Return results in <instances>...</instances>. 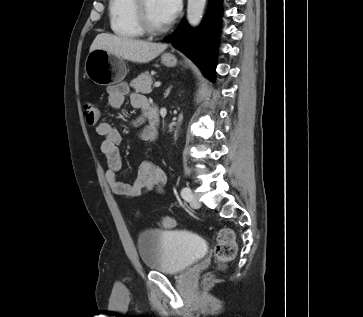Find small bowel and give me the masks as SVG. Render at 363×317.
Returning a JSON list of instances; mask_svg holds the SVG:
<instances>
[{
  "label": "small bowel",
  "mask_w": 363,
  "mask_h": 317,
  "mask_svg": "<svg viewBox=\"0 0 363 317\" xmlns=\"http://www.w3.org/2000/svg\"><path fill=\"white\" fill-rule=\"evenodd\" d=\"M129 93L127 84L120 83L108 90V103L112 108H120ZM130 103L134 108L142 112V116L136 124L140 127V137L148 139V130L142 126V122L148 113L149 103L145 96L139 93L130 94ZM96 132L102 137L100 151L106 158L108 170L106 172L107 182L112 191L124 198H136L149 192H164L166 186L165 173L151 160L143 161L138 170V178L134 184H126L118 179V173L122 168V155L119 149L122 143V134L113 127L110 122L101 121L96 126Z\"/></svg>",
  "instance_id": "obj_1"
}]
</instances>
